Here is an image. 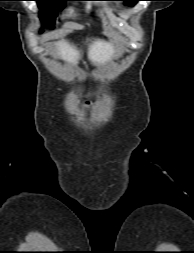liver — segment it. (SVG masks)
Returning <instances> with one entry per match:
<instances>
[{
    "mask_svg": "<svg viewBox=\"0 0 194 253\" xmlns=\"http://www.w3.org/2000/svg\"><path fill=\"white\" fill-rule=\"evenodd\" d=\"M56 55L62 60L76 65L81 59V52L74 45L61 40L56 44ZM114 46L107 41L96 39L88 46V58L95 65H103L115 56Z\"/></svg>",
    "mask_w": 194,
    "mask_h": 253,
    "instance_id": "liver-1",
    "label": "liver"
}]
</instances>
